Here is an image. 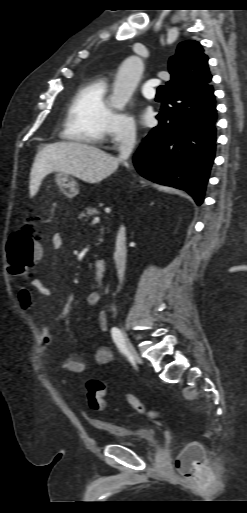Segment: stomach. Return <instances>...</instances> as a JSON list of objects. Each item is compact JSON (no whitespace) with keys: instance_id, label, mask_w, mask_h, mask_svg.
<instances>
[{"instance_id":"1","label":"stomach","mask_w":247,"mask_h":513,"mask_svg":"<svg viewBox=\"0 0 247 513\" xmlns=\"http://www.w3.org/2000/svg\"><path fill=\"white\" fill-rule=\"evenodd\" d=\"M55 180L59 188L64 191L68 197H74L78 194L79 186L72 175L63 172H56Z\"/></svg>"}]
</instances>
